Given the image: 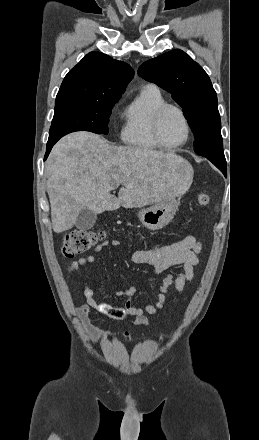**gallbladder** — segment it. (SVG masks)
<instances>
[{
  "label": "gallbladder",
  "mask_w": 259,
  "mask_h": 440,
  "mask_svg": "<svg viewBox=\"0 0 259 440\" xmlns=\"http://www.w3.org/2000/svg\"><path fill=\"white\" fill-rule=\"evenodd\" d=\"M96 219V214L88 208H83L78 214L75 226L79 230H89L94 226Z\"/></svg>",
  "instance_id": "gallbladder-1"
}]
</instances>
